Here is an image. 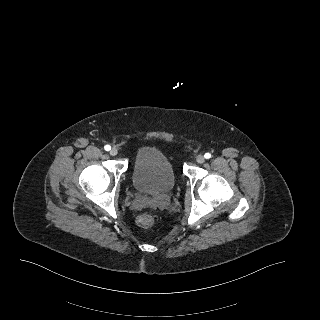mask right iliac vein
Wrapping results in <instances>:
<instances>
[{
    "label": "right iliac vein",
    "instance_id": "obj_1",
    "mask_svg": "<svg viewBox=\"0 0 320 320\" xmlns=\"http://www.w3.org/2000/svg\"><path fill=\"white\" fill-rule=\"evenodd\" d=\"M117 153H118V151H117L116 148H112V149L110 150V155H112V156L117 155Z\"/></svg>",
    "mask_w": 320,
    "mask_h": 320
}]
</instances>
